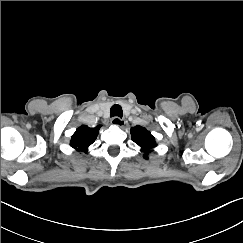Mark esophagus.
<instances>
[{
  "label": "esophagus",
  "instance_id": "obj_1",
  "mask_svg": "<svg viewBox=\"0 0 243 243\" xmlns=\"http://www.w3.org/2000/svg\"><path fill=\"white\" fill-rule=\"evenodd\" d=\"M112 125L122 127L125 125V120L119 117H113L111 120Z\"/></svg>",
  "mask_w": 243,
  "mask_h": 243
}]
</instances>
